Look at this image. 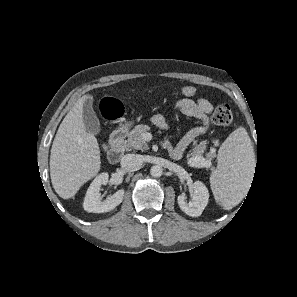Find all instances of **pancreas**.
<instances>
[{"instance_id":"cf45deb5","label":"pancreas","mask_w":297,"mask_h":297,"mask_svg":"<svg viewBox=\"0 0 297 297\" xmlns=\"http://www.w3.org/2000/svg\"><path fill=\"white\" fill-rule=\"evenodd\" d=\"M150 130L148 125H137L135 128L128 134V139L126 140L125 146L128 149H136V150H147L148 144L144 139V134ZM203 151L202 148L197 147L194 148L191 155L193 157L201 154Z\"/></svg>"}]
</instances>
